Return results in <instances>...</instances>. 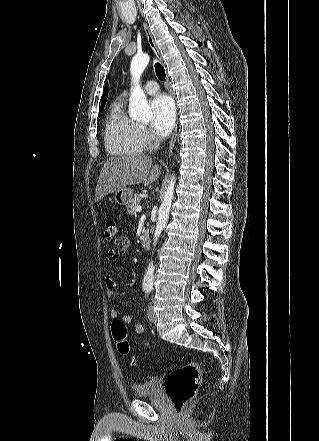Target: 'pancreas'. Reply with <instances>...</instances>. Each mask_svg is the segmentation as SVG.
<instances>
[{"label":"pancreas","instance_id":"obj_1","mask_svg":"<svg viewBox=\"0 0 319 441\" xmlns=\"http://www.w3.org/2000/svg\"><path fill=\"white\" fill-rule=\"evenodd\" d=\"M140 196L138 194H135V196L132 198L129 205H127V213L128 214H135L136 213V207L140 204Z\"/></svg>","mask_w":319,"mask_h":441}]
</instances>
